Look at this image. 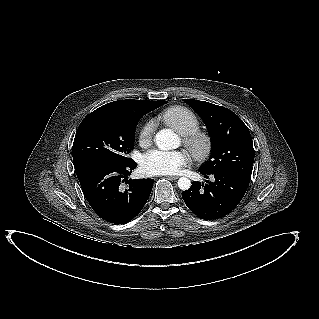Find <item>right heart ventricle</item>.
Wrapping results in <instances>:
<instances>
[{
	"label": "right heart ventricle",
	"mask_w": 319,
	"mask_h": 319,
	"mask_svg": "<svg viewBox=\"0 0 319 319\" xmlns=\"http://www.w3.org/2000/svg\"><path fill=\"white\" fill-rule=\"evenodd\" d=\"M162 121L180 135L196 131L200 127V120L188 108L172 106L161 114Z\"/></svg>",
	"instance_id": "right-heart-ventricle-1"
}]
</instances>
